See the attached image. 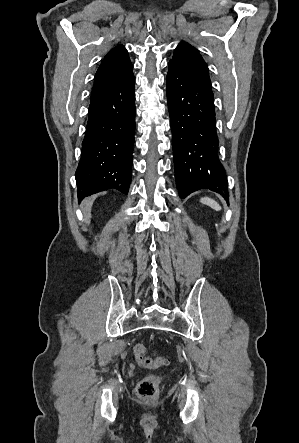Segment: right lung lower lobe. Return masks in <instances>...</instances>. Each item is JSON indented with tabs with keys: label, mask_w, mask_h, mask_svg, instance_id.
Returning <instances> with one entry per match:
<instances>
[{
	"label": "right lung lower lobe",
	"mask_w": 299,
	"mask_h": 443,
	"mask_svg": "<svg viewBox=\"0 0 299 443\" xmlns=\"http://www.w3.org/2000/svg\"><path fill=\"white\" fill-rule=\"evenodd\" d=\"M135 130L134 75L91 100L81 160L76 171L78 198L117 189L131 181Z\"/></svg>",
	"instance_id": "1"
}]
</instances>
